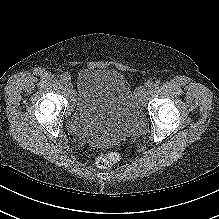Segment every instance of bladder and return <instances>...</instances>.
Listing matches in <instances>:
<instances>
[{
    "mask_svg": "<svg viewBox=\"0 0 219 219\" xmlns=\"http://www.w3.org/2000/svg\"><path fill=\"white\" fill-rule=\"evenodd\" d=\"M76 102L66 118L70 132L99 134L113 143L146 129L143 110L127 79L110 69L87 68L78 78Z\"/></svg>",
    "mask_w": 219,
    "mask_h": 219,
    "instance_id": "obj_1",
    "label": "bladder"
}]
</instances>
